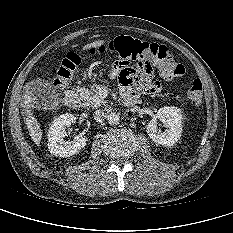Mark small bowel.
<instances>
[{
    "instance_id": "c3829d8e",
    "label": "small bowel",
    "mask_w": 233,
    "mask_h": 233,
    "mask_svg": "<svg viewBox=\"0 0 233 233\" xmlns=\"http://www.w3.org/2000/svg\"><path fill=\"white\" fill-rule=\"evenodd\" d=\"M158 73V66L153 61H140L135 58L120 60L112 69L110 75L118 77L123 96L127 94L156 93L160 91L161 84L152 81Z\"/></svg>"
}]
</instances>
